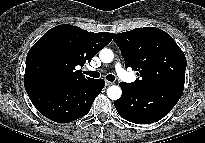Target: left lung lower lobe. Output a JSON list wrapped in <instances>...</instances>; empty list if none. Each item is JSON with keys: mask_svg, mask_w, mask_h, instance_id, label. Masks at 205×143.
Wrapping results in <instances>:
<instances>
[{"mask_svg": "<svg viewBox=\"0 0 205 143\" xmlns=\"http://www.w3.org/2000/svg\"><path fill=\"white\" fill-rule=\"evenodd\" d=\"M122 96L114 102L119 115L135 124H148L162 119L180 99L184 84L165 83L136 88L121 82Z\"/></svg>", "mask_w": 205, "mask_h": 143, "instance_id": "obj_1", "label": "left lung lower lobe"}]
</instances>
